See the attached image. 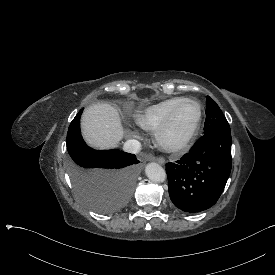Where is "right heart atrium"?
Here are the masks:
<instances>
[{"instance_id":"obj_1","label":"right heart atrium","mask_w":275,"mask_h":275,"mask_svg":"<svg viewBox=\"0 0 275 275\" xmlns=\"http://www.w3.org/2000/svg\"><path fill=\"white\" fill-rule=\"evenodd\" d=\"M126 134L129 135V136H136L137 135V132L135 130V128L130 125L129 123H127V126H126Z\"/></svg>"}]
</instances>
